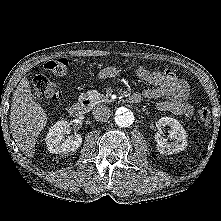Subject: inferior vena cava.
<instances>
[{"label":"inferior vena cava","instance_id":"inferior-vena-cava-1","mask_svg":"<svg viewBox=\"0 0 221 221\" xmlns=\"http://www.w3.org/2000/svg\"><path fill=\"white\" fill-rule=\"evenodd\" d=\"M92 114L96 121L106 122L110 118V109L105 105H98L93 109Z\"/></svg>","mask_w":221,"mask_h":221}]
</instances>
